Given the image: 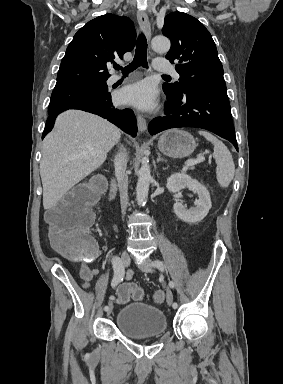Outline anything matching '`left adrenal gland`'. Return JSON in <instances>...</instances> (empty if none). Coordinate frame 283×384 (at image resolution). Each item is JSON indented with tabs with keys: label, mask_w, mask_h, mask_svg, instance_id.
I'll use <instances>...</instances> for the list:
<instances>
[{
	"label": "left adrenal gland",
	"mask_w": 283,
	"mask_h": 384,
	"mask_svg": "<svg viewBox=\"0 0 283 384\" xmlns=\"http://www.w3.org/2000/svg\"><path fill=\"white\" fill-rule=\"evenodd\" d=\"M157 156H158L157 162H167V160H163V158H161L159 152H157Z\"/></svg>",
	"instance_id": "a2214340"
}]
</instances>
